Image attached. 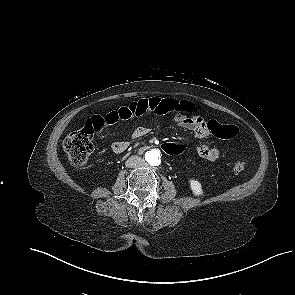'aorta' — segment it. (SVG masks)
<instances>
[{"label":"aorta","instance_id":"aorta-1","mask_svg":"<svg viewBox=\"0 0 295 295\" xmlns=\"http://www.w3.org/2000/svg\"><path fill=\"white\" fill-rule=\"evenodd\" d=\"M145 160L151 165V166H158L161 163L160 159V151L153 149L150 151H147L145 153Z\"/></svg>","mask_w":295,"mask_h":295}]
</instances>
